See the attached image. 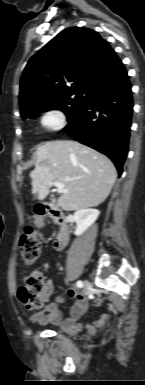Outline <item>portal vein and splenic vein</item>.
Here are the masks:
<instances>
[{"instance_id":"portal-vein-and-splenic-vein-1","label":"portal vein and splenic vein","mask_w":145,"mask_h":385,"mask_svg":"<svg viewBox=\"0 0 145 385\" xmlns=\"http://www.w3.org/2000/svg\"><path fill=\"white\" fill-rule=\"evenodd\" d=\"M54 186L56 187V191L58 193H67L68 191L64 188V184L58 181L53 182Z\"/></svg>"}]
</instances>
